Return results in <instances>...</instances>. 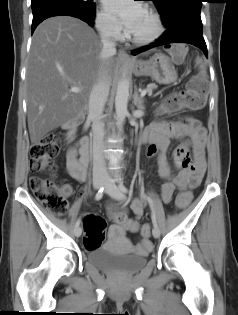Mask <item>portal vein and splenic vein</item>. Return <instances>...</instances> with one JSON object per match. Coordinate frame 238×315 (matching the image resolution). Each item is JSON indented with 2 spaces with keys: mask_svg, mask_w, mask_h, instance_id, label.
<instances>
[{
  "mask_svg": "<svg viewBox=\"0 0 238 315\" xmlns=\"http://www.w3.org/2000/svg\"><path fill=\"white\" fill-rule=\"evenodd\" d=\"M70 91H71V92L78 93V92H80V88H78V87H72V88L70 89ZM146 93H147V90L144 89L143 91H141V96H142V97L145 96Z\"/></svg>",
  "mask_w": 238,
  "mask_h": 315,
  "instance_id": "1",
  "label": "portal vein and splenic vein"
}]
</instances>
